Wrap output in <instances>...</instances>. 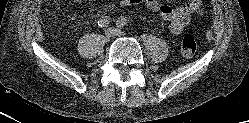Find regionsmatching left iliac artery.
Wrapping results in <instances>:
<instances>
[{
    "label": "left iliac artery",
    "mask_w": 249,
    "mask_h": 123,
    "mask_svg": "<svg viewBox=\"0 0 249 123\" xmlns=\"http://www.w3.org/2000/svg\"><path fill=\"white\" fill-rule=\"evenodd\" d=\"M127 24V19L124 16H120L119 19L117 20V26L122 28Z\"/></svg>",
    "instance_id": "left-iliac-artery-1"
}]
</instances>
